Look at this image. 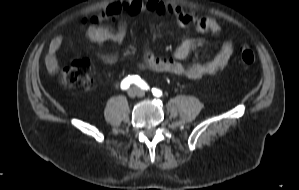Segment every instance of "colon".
I'll list each match as a JSON object with an SVG mask.
<instances>
[{
    "label": "colon",
    "instance_id": "1",
    "mask_svg": "<svg viewBox=\"0 0 299 190\" xmlns=\"http://www.w3.org/2000/svg\"><path fill=\"white\" fill-rule=\"evenodd\" d=\"M240 60L246 66H251L255 61L253 50L248 46H243L240 52ZM64 84L75 88L80 92L89 91L92 87V75L90 64L86 59L74 60L61 74Z\"/></svg>",
    "mask_w": 299,
    "mask_h": 190
}]
</instances>
